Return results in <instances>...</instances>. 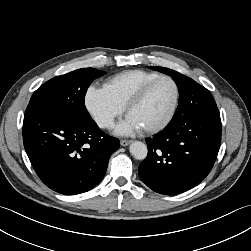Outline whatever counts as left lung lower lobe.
Segmentation results:
<instances>
[{
    "mask_svg": "<svg viewBox=\"0 0 251 251\" xmlns=\"http://www.w3.org/2000/svg\"><path fill=\"white\" fill-rule=\"evenodd\" d=\"M176 118L147 139L148 156L139 166L141 180L165 195L185 192L211 171L221 144V119L206 88L184 95Z\"/></svg>",
    "mask_w": 251,
    "mask_h": 251,
    "instance_id": "left-lung-lower-lobe-1",
    "label": "left lung lower lobe"
}]
</instances>
